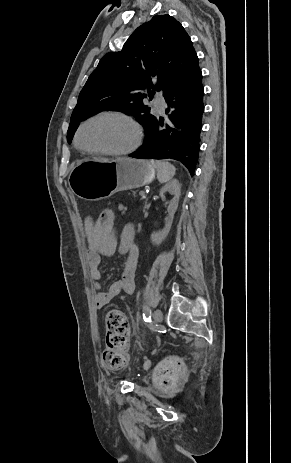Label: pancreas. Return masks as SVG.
<instances>
[{"mask_svg": "<svg viewBox=\"0 0 291 463\" xmlns=\"http://www.w3.org/2000/svg\"><path fill=\"white\" fill-rule=\"evenodd\" d=\"M129 195H131L134 198L138 196L136 191H132L131 193H129Z\"/></svg>", "mask_w": 291, "mask_h": 463, "instance_id": "1", "label": "pancreas"}]
</instances>
